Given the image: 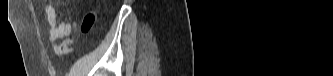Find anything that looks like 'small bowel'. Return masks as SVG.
<instances>
[{"instance_id":"small-bowel-1","label":"small bowel","mask_w":333,"mask_h":76,"mask_svg":"<svg viewBox=\"0 0 333 76\" xmlns=\"http://www.w3.org/2000/svg\"><path fill=\"white\" fill-rule=\"evenodd\" d=\"M46 15L49 25V39L51 42L69 36L72 32V26L70 23L62 21L59 18L57 9L52 3L46 6Z\"/></svg>"}]
</instances>
